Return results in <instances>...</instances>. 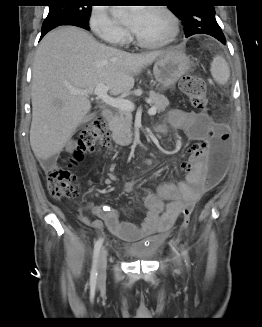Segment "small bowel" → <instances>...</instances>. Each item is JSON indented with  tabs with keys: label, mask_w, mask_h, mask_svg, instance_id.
<instances>
[{
	"label": "small bowel",
	"mask_w": 262,
	"mask_h": 327,
	"mask_svg": "<svg viewBox=\"0 0 262 327\" xmlns=\"http://www.w3.org/2000/svg\"><path fill=\"white\" fill-rule=\"evenodd\" d=\"M168 122L171 126L183 130L189 139L204 142H209L212 135H216L214 125L219 124L211 120L206 113L181 110L172 111ZM156 131L165 133L166 125L157 126ZM72 146L71 142L68 148L70 149ZM206 159V153H188L187 159H175L174 165L178 170H184V174L187 175L185 180L166 181L160 184L155 192H146L142 198L145 211L141 224L121 221L114 208L108 205L93 206L91 203L87 207L98 218L90 219L81 215V220L98 232L106 226L111 234L122 240H137L149 234L165 232L171 228L175 219L181 214L187 200H194L196 203L209 187L204 184L205 165L197 164V160ZM98 179L100 182L104 180L101 174H98ZM132 189V183L127 182L124 185L126 192H130Z\"/></svg>",
	"instance_id": "obj_1"
}]
</instances>
